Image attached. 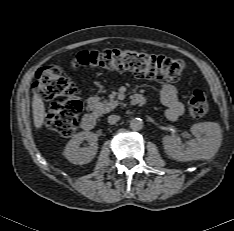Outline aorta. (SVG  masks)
Here are the masks:
<instances>
[{
  "label": "aorta",
  "mask_w": 234,
  "mask_h": 231,
  "mask_svg": "<svg viewBox=\"0 0 234 231\" xmlns=\"http://www.w3.org/2000/svg\"><path fill=\"white\" fill-rule=\"evenodd\" d=\"M130 128L134 131H139L143 128V120L141 118H133L130 121Z\"/></svg>",
  "instance_id": "obj_1"
}]
</instances>
